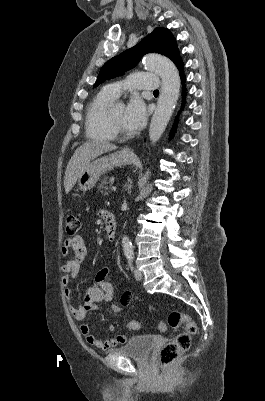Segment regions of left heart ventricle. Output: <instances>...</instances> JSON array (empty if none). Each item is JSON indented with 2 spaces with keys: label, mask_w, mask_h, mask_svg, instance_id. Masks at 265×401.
Here are the masks:
<instances>
[{
  "label": "left heart ventricle",
  "mask_w": 265,
  "mask_h": 401,
  "mask_svg": "<svg viewBox=\"0 0 265 401\" xmlns=\"http://www.w3.org/2000/svg\"><path fill=\"white\" fill-rule=\"evenodd\" d=\"M112 110H113L114 121H115L116 125L118 126L121 134L127 133L129 128L125 123L124 106H113Z\"/></svg>",
  "instance_id": "obj_1"
}]
</instances>
